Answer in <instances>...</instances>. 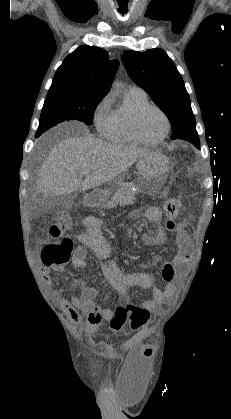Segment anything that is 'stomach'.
<instances>
[{
  "label": "stomach",
  "instance_id": "1",
  "mask_svg": "<svg viewBox=\"0 0 231 419\" xmlns=\"http://www.w3.org/2000/svg\"><path fill=\"white\" fill-rule=\"evenodd\" d=\"M137 169L141 176L140 187L148 193L160 190L167 179L170 162L160 152H150L141 157L137 162ZM109 190H102L96 194L92 204L99 205L109 196Z\"/></svg>",
  "mask_w": 231,
  "mask_h": 419
}]
</instances>
